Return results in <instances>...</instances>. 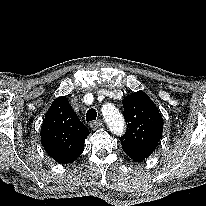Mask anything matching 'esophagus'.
I'll return each instance as SVG.
<instances>
[{
  "label": "esophagus",
  "mask_w": 206,
  "mask_h": 206,
  "mask_svg": "<svg viewBox=\"0 0 206 206\" xmlns=\"http://www.w3.org/2000/svg\"><path fill=\"white\" fill-rule=\"evenodd\" d=\"M102 125V121L101 120H96V121H92L90 123V128L92 130H96L97 128H99Z\"/></svg>",
  "instance_id": "obj_1"
}]
</instances>
